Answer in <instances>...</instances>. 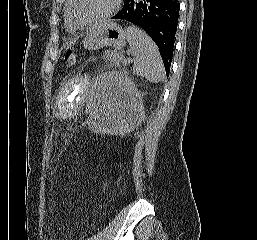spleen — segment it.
Here are the masks:
<instances>
[{
  "mask_svg": "<svg viewBox=\"0 0 257 240\" xmlns=\"http://www.w3.org/2000/svg\"><path fill=\"white\" fill-rule=\"evenodd\" d=\"M126 36L135 56L133 71L153 83L164 80L161 55L152 39L144 31L133 26L126 28Z\"/></svg>",
  "mask_w": 257,
  "mask_h": 240,
  "instance_id": "spleen-1",
  "label": "spleen"
}]
</instances>
